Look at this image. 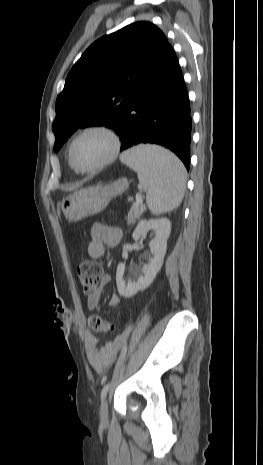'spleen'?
I'll use <instances>...</instances> for the list:
<instances>
[{
	"label": "spleen",
	"mask_w": 263,
	"mask_h": 465,
	"mask_svg": "<svg viewBox=\"0 0 263 465\" xmlns=\"http://www.w3.org/2000/svg\"><path fill=\"white\" fill-rule=\"evenodd\" d=\"M121 160L137 172L153 214H163L180 205L186 188V169L173 153L154 145H140L122 154Z\"/></svg>",
	"instance_id": "1"
}]
</instances>
